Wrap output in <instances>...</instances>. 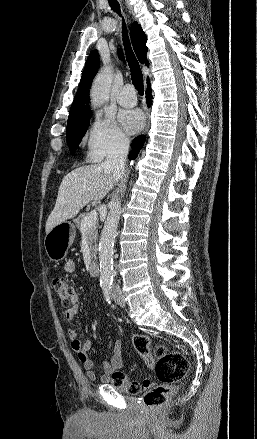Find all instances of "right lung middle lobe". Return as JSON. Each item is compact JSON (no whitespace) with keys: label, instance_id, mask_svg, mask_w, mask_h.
Listing matches in <instances>:
<instances>
[{"label":"right lung middle lobe","instance_id":"dd1d6c3e","mask_svg":"<svg viewBox=\"0 0 257 439\" xmlns=\"http://www.w3.org/2000/svg\"><path fill=\"white\" fill-rule=\"evenodd\" d=\"M90 117L91 115L87 114L84 116L72 117L68 119L66 132L67 143L71 152L77 149L82 140V137L85 135L89 125Z\"/></svg>","mask_w":257,"mask_h":439}]
</instances>
